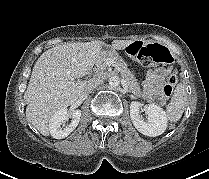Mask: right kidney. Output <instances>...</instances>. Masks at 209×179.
I'll return each instance as SVG.
<instances>
[{
	"label": "right kidney",
	"mask_w": 209,
	"mask_h": 179,
	"mask_svg": "<svg viewBox=\"0 0 209 179\" xmlns=\"http://www.w3.org/2000/svg\"><path fill=\"white\" fill-rule=\"evenodd\" d=\"M81 117L80 110L67 112L66 108H61L52 117L49 122V132L55 139H63L67 137L79 124ZM71 118L69 125L65 126V122Z\"/></svg>",
	"instance_id": "obj_1"
}]
</instances>
